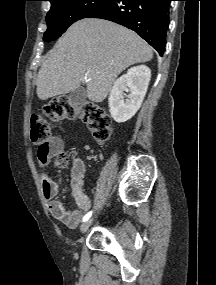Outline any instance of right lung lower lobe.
Masks as SVG:
<instances>
[{
  "label": "right lung lower lobe",
  "instance_id": "98d812e1",
  "mask_svg": "<svg viewBox=\"0 0 216 285\" xmlns=\"http://www.w3.org/2000/svg\"><path fill=\"white\" fill-rule=\"evenodd\" d=\"M171 0H111L87 17L102 18L134 30L163 56Z\"/></svg>",
  "mask_w": 216,
  "mask_h": 285
}]
</instances>
